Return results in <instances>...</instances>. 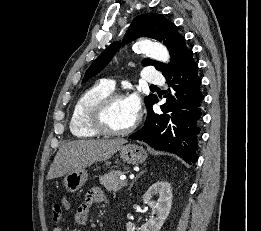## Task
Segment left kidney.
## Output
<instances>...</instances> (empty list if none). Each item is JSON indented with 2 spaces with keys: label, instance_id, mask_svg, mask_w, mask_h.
Instances as JSON below:
<instances>
[{
  "label": "left kidney",
  "instance_id": "obj_1",
  "mask_svg": "<svg viewBox=\"0 0 261 231\" xmlns=\"http://www.w3.org/2000/svg\"><path fill=\"white\" fill-rule=\"evenodd\" d=\"M155 195H159L157 201L153 200ZM172 197L170 183L158 181L150 186L143 195V201L152 208V215L137 231H159L170 213ZM126 229L127 231H135L136 227L131 222H128Z\"/></svg>",
  "mask_w": 261,
  "mask_h": 231
}]
</instances>
